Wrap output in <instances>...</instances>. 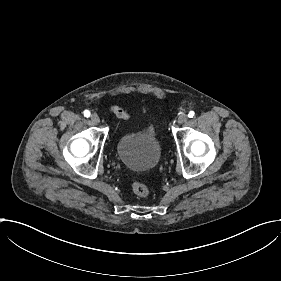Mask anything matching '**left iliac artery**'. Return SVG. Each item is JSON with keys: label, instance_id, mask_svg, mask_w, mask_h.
I'll return each instance as SVG.
<instances>
[{"label": "left iliac artery", "instance_id": "left-iliac-artery-1", "mask_svg": "<svg viewBox=\"0 0 281 281\" xmlns=\"http://www.w3.org/2000/svg\"><path fill=\"white\" fill-rule=\"evenodd\" d=\"M194 114H195L194 111H190L189 114H188V117L193 118Z\"/></svg>", "mask_w": 281, "mask_h": 281}]
</instances>
